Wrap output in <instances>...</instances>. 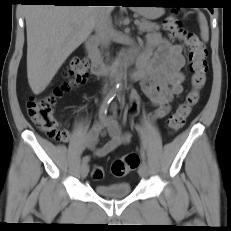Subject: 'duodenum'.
<instances>
[{
	"mask_svg": "<svg viewBox=\"0 0 231 231\" xmlns=\"http://www.w3.org/2000/svg\"><path fill=\"white\" fill-rule=\"evenodd\" d=\"M85 50L88 56V59L91 63V70L94 75L100 76L105 74H112L115 77L122 75L124 69L123 65L126 62L120 63V65L105 66L100 53L97 50L96 40L90 38L85 44Z\"/></svg>",
	"mask_w": 231,
	"mask_h": 231,
	"instance_id": "1",
	"label": "duodenum"
}]
</instances>
